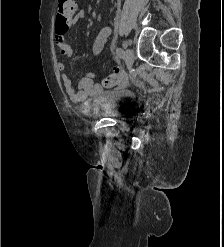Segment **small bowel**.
<instances>
[{
  "label": "small bowel",
  "instance_id": "1",
  "mask_svg": "<svg viewBox=\"0 0 224 247\" xmlns=\"http://www.w3.org/2000/svg\"><path fill=\"white\" fill-rule=\"evenodd\" d=\"M85 17V11L78 9L72 19V24L78 23ZM111 34V27H103L94 39L92 51L95 55H99ZM55 44L60 50L63 60L58 63V70L62 72L61 79L70 99L74 102L84 101L102 91V86L95 83L96 74L93 72H86L79 79L77 87L74 86L71 78L64 72L66 69V60L73 54L71 45L67 42L65 33H55ZM114 72H121L119 68H115Z\"/></svg>",
  "mask_w": 224,
  "mask_h": 247
}]
</instances>
